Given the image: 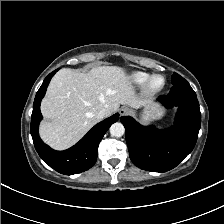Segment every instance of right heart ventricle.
<instances>
[{
  "label": "right heart ventricle",
  "instance_id": "right-heart-ventricle-1",
  "mask_svg": "<svg viewBox=\"0 0 224 224\" xmlns=\"http://www.w3.org/2000/svg\"><path fill=\"white\" fill-rule=\"evenodd\" d=\"M149 76L150 74L147 72L134 71L129 75V79L134 84L143 85Z\"/></svg>",
  "mask_w": 224,
  "mask_h": 224
}]
</instances>
